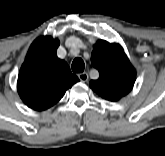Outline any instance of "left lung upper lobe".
<instances>
[{
  "label": "left lung upper lobe",
  "instance_id": "5c2ea615",
  "mask_svg": "<svg viewBox=\"0 0 165 156\" xmlns=\"http://www.w3.org/2000/svg\"><path fill=\"white\" fill-rule=\"evenodd\" d=\"M91 62L98 69L99 78L91 80L89 85L99 96L118 101L132 90L136 71L119 44L97 41Z\"/></svg>",
  "mask_w": 165,
  "mask_h": 156
}]
</instances>
